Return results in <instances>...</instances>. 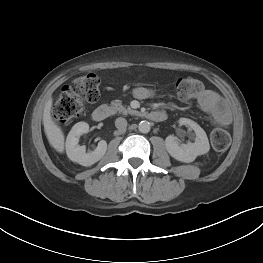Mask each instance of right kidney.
Returning a JSON list of instances; mask_svg holds the SVG:
<instances>
[{
    "label": "right kidney",
    "instance_id": "1",
    "mask_svg": "<svg viewBox=\"0 0 263 263\" xmlns=\"http://www.w3.org/2000/svg\"><path fill=\"white\" fill-rule=\"evenodd\" d=\"M89 124L86 122L76 123L69 132L66 139V153L68 158L83 166H91L98 162L106 153L107 143L101 140L93 152L86 153L85 146L78 145L79 137L88 133Z\"/></svg>",
    "mask_w": 263,
    "mask_h": 263
}]
</instances>
